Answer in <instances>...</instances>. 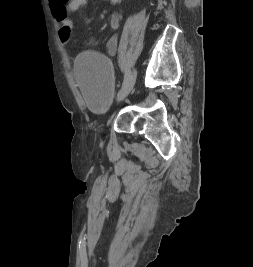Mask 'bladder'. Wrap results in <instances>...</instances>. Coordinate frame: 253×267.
Wrapping results in <instances>:
<instances>
[{"instance_id":"31cf9c89","label":"bladder","mask_w":253,"mask_h":267,"mask_svg":"<svg viewBox=\"0 0 253 267\" xmlns=\"http://www.w3.org/2000/svg\"><path fill=\"white\" fill-rule=\"evenodd\" d=\"M73 73L90 111L97 116L106 115L114 93L110 60L102 53L84 51L76 57Z\"/></svg>"}]
</instances>
